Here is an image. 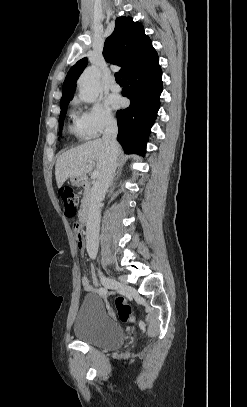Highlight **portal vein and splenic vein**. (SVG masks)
Segmentation results:
<instances>
[{"label":"portal vein and splenic vein","instance_id":"obj_1","mask_svg":"<svg viewBox=\"0 0 247 407\" xmlns=\"http://www.w3.org/2000/svg\"><path fill=\"white\" fill-rule=\"evenodd\" d=\"M89 164H91V165H95V163L93 162V161H89ZM98 177V171H93L92 173H91V179H96Z\"/></svg>","mask_w":247,"mask_h":407}]
</instances>
